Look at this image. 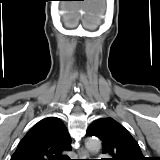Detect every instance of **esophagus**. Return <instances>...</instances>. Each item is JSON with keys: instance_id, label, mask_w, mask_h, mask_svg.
<instances>
[{"instance_id": "1", "label": "esophagus", "mask_w": 160, "mask_h": 160, "mask_svg": "<svg viewBox=\"0 0 160 160\" xmlns=\"http://www.w3.org/2000/svg\"><path fill=\"white\" fill-rule=\"evenodd\" d=\"M78 156L80 159L84 160L87 159V157L89 156L88 152L84 149V148H80L78 150Z\"/></svg>"}]
</instances>
